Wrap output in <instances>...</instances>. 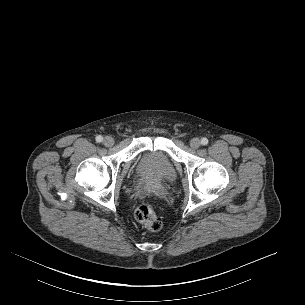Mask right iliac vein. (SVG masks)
<instances>
[{
  "label": "right iliac vein",
  "mask_w": 305,
  "mask_h": 305,
  "mask_svg": "<svg viewBox=\"0 0 305 305\" xmlns=\"http://www.w3.org/2000/svg\"><path fill=\"white\" fill-rule=\"evenodd\" d=\"M105 146L110 147L114 144V139L111 136H106L103 140Z\"/></svg>",
  "instance_id": "obj_1"
}]
</instances>
